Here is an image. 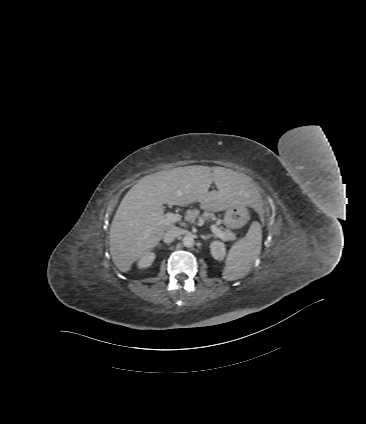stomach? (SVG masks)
<instances>
[{"label": "stomach", "mask_w": 366, "mask_h": 424, "mask_svg": "<svg viewBox=\"0 0 366 424\" xmlns=\"http://www.w3.org/2000/svg\"><path fill=\"white\" fill-rule=\"evenodd\" d=\"M249 213L246 206L236 205L226 209L223 220L227 228L235 229L241 226V219L248 218Z\"/></svg>", "instance_id": "obj_1"}]
</instances>
